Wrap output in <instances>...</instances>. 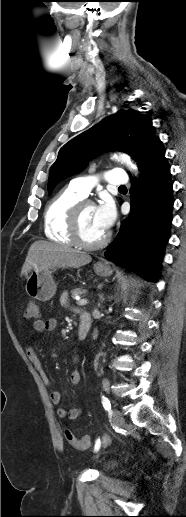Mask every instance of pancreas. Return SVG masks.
Instances as JSON below:
<instances>
[{
	"instance_id": "pancreas-1",
	"label": "pancreas",
	"mask_w": 186,
	"mask_h": 517,
	"mask_svg": "<svg viewBox=\"0 0 186 517\" xmlns=\"http://www.w3.org/2000/svg\"><path fill=\"white\" fill-rule=\"evenodd\" d=\"M85 293H86V290H84L82 288H76V289L71 290V296L73 298H75L77 295H82Z\"/></svg>"
}]
</instances>
